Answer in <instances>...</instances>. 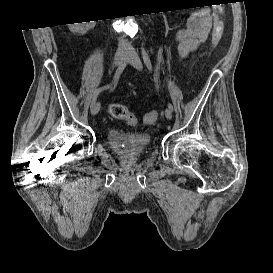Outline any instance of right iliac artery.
<instances>
[{
	"mask_svg": "<svg viewBox=\"0 0 273 273\" xmlns=\"http://www.w3.org/2000/svg\"><path fill=\"white\" fill-rule=\"evenodd\" d=\"M126 65H127V62L125 61L124 63H122V64L118 67V69H117L116 72H115L114 78H113V84H115V83L118 81V79H119L121 73L123 72V70L125 69ZM110 86H112V84H111V85H106V86H104V87H102V88L96 90V92L94 93L92 102H91V106H90L91 108H92L93 105L96 103L98 94H99L101 91L108 89Z\"/></svg>",
	"mask_w": 273,
	"mask_h": 273,
	"instance_id": "obj_1",
	"label": "right iliac artery"
}]
</instances>
